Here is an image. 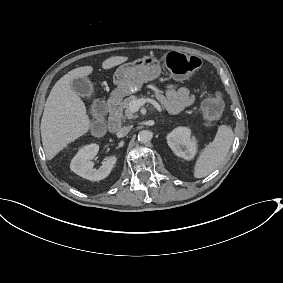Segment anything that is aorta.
<instances>
[{
    "label": "aorta",
    "mask_w": 283,
    "mask_h": 283,
    "mask_svg": "<svg viewBox=\"0 0 283 283\" xmlns=\"http://www.w3.org/2000/svg\"><path fill=\"white\" fill-rule=\"evenodd\" d=\"M152 139V133L148 130H142L138 133V140L141 143H147Z\"/></svg>",
    "instance_id": "obj_1"
}]
</instances>
